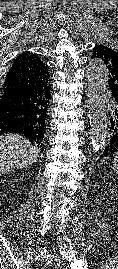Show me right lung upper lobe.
Returning <instances> with one entry per match:
<instances>
[{
	"label": "right lung upper lobe",
	"mask_w": 118,
	"mask_h": 269,
	"mask_svg": "<svg viewBox=\"0 0 118 269\" xmlns=\"http://www.w3.org/2000/svg\"><path fill=\"white\" fill-rule=\"evenodd\" d=\"M48 66L35 54H20L13 62L7 73L2 89H22L37 91L36 100V124L38 130L43 133L45 120L50 101L51 86Z\"/></svg>",
	"instance_id": "right-lung-upper-lobe-1"
}]
</instances>
